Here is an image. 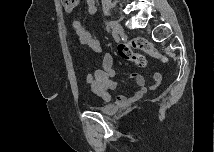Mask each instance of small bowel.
<instances>
[{"label": "small bowel", "mask_w": 215, "mask_h": 152, "mask_svg": "<svg viewBox=\"0 0 215 152\" xmlns=\"http://www.w3.org/2000/svg\"><path fill=\"white\" fill-rule=\"evenodd\" d=\"M88 11L91 14L96 12L95 3L93 0H88ZM73 29L77 35L78 43L82 46L88 47L93 51L100 53L102 52V47L95 35L88 32L82 23L75 19L72 22ZM116 75L114 69V58L110 53H106L102 61V69L96 70L92 75L87 73L85 75V81L90 85L93 92L105 101H109L110 91L117 88V83L113 81V77ZM131 78L137 85V91L131 95H118L116 98L117 104L131 103L142 98L149 89H156L162 82V76L159 73L153 75V83L150 87L145 85V79L141 74L131 73Z\"/></svg>", "instance_id": "1"}]
</instances>
